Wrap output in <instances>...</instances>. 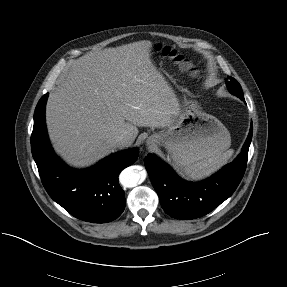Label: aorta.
<instances>
[{"label": "aorta", "instance_id": "1", "mask_svg": "<svg viewBox=\"0 0 287 287\" xmlns=\"http://www.w3.org/2000/svg\"><path fill=\"white\" fill-rule=\"evenodd\" d=\"M119 179L124 187L132 188L140 182L141 173L135 167H128L121 172Z\"/></svg>", "mask_w": 287, "mask_h": 287}]
</instances>
